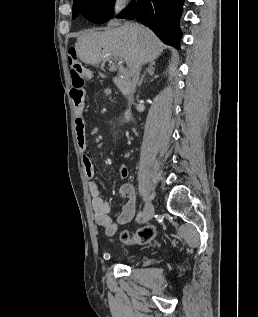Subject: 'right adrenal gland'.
<instances>
[{"label":"right adrenal gland","instance_id":"1","mask_svg":"<svg viewBox=\"0 0 258 317\" xmlns=\"http://www.w3.org/2000/svg\"><path fill=\"white\" fill-rule=\"evenodd\" d=\"M153 64H155V62H149L144 74H142V76H141V78H140V80L138 82V86H141V84H142V82L144 80V76H145L146 72H148V74H154L155 68H154Z\"/></svg>","mask_w":258,"mask_h":317}]
</instances>
